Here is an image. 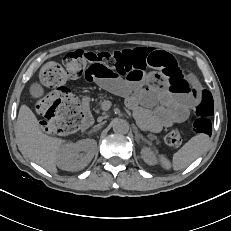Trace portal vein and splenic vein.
I'll return each instance as SVG.
<instances>
[{
    "label": "portal vein and splenic vein",
    "instance_id": "obj_1",
    "mask_svg": "<svg viewBox=\"0 0 231 231\" xmlns=\"http://www.w3.org/2000/svg\"><path fill=\"white\" fill-rule=\"evenodd\" d=\"M111 106H112V102L109 100H105L101 104V108L103 111H108L111 108Z\"/></svg>",
    "mask_w": 231,
    "mask_h": 231
}]
</instances>
